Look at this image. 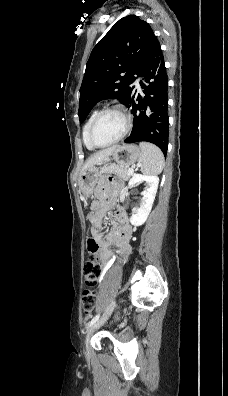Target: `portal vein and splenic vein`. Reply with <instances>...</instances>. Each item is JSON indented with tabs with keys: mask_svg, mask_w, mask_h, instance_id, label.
I'll return each instance as SVG.
<instances>
[{
	"mask_svg": "<svg viewBox=\"0 0 228 396\" xmlns=\"http://www.w3.org/2000/svg\"><path fill=\"white\" fill-rule=\"evenodd\" d=\"M129 173L132 174L133 173V169H129Z\"/></svg>",
	"mask_w": 228,
	"mask_h": 396,
	"instance_id": "obj_1",
	"label": "portal vein and splenic vein"
}]
</instances>
